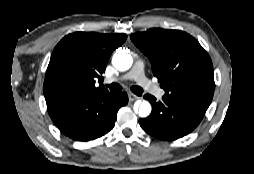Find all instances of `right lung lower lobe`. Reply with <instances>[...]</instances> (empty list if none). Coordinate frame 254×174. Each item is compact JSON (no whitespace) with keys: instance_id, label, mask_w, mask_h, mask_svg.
<instances>
[{"instance_id":"1","label":"right lung lower lobe","mask_w":254,"mask_h":174,"mask_svg":"<svg viewBox=\"0 0 254 174\" xmlns=\"http://www.w3.org/2000/svg\"><path fill=\"white\" fill-rule=\"evenodd\" d=\"M127 102L126 92L116 95L75 93L47 105V109L62 133L73 140L89 141L114 127L119 108Z\"/></svg>"}]
</instances>
